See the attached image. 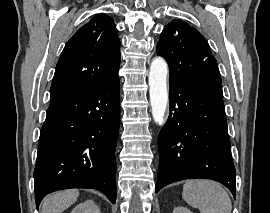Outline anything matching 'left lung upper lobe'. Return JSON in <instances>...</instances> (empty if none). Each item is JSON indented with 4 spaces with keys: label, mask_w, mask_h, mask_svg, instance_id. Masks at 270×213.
Listing matches in <instances>:
<instances>
[{
    "label": "left lung upper lobe",
    "mask_w": 270,
    "mask_h": 213,
    "mask_svg": "<svg viewBox=\"0 0 270 213\" xmlns=\"http://www.w3.org/2000/svg\"><path fill=\"white\" fill-rule=\"evenodd\" d=\"M157 55L169 65V81L197 83L222 93L216 59L205 38L187 23L173 20L165 26Z\"/></svg>",
    "instance_id": "5c2ea615"
}]
</instances>
